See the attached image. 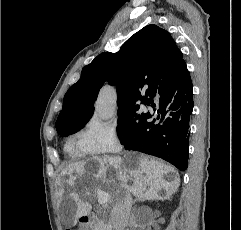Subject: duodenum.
Masks as SVG:
<instances>
[{"mask_svg": "<svg viewBox=\"0 0 241 230\" xmlns=\"http://www.w3.org/2000/svg\"><path fill=\"white\" fill-rule=\"evenodd\" d=\"M97 221L96 216L94 215H88V214H84L81 218H80V223L82 226L84 227H89L92 224H94Z\"/></svg>", "mask_w": 241, "mask_h": 230, "instance_id": "obj_1", "label": "duodenum"}]
</instances>
